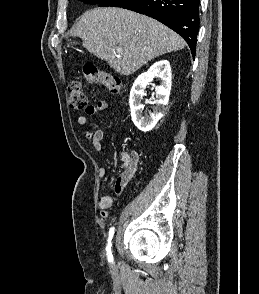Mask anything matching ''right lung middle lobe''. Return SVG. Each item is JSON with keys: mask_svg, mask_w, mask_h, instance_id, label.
Here are the masks:
<instances>
[{"mask_svg": "<svg viewBox=\"0 0 259 294\" xmlns=\"http://www.w3.org/2000/svg\"><path fill=\"white\" fill-rule=\"evenodd\" d=\"M86 4H99L100 7H109V6H115V7H121L125 3H127L129 0H81Z\"/></svg>", "mask_w": 259, "mask_h": 294, "instance_id": "1", "label": "right lung middle lobe"}]
</instances>
